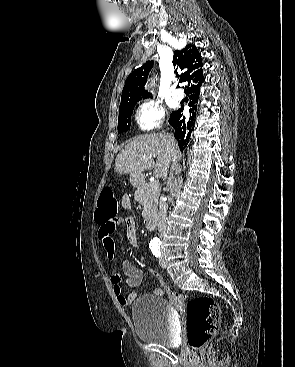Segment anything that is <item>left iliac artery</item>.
I'll use <instances>...</instances> for the list:
<instances>
[{"instance_id":"left-iliac-artery-1","label":"left iliac artery","mask_w":295,"mask_h":367,"mask_svg":"<svg viewBox=\"0 0 295 367\" xmlns=\"http://www.w3.org/2000/svg\"><path fill=\"white\" fill-rule=\"evenodd\" d=\"M151 251L153 252L155 257H160L161 256L160 247H153V248H151Z\"/></svg>"}]
</instances>
